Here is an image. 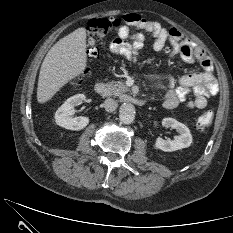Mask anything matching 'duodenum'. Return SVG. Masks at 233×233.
Segmentation results:
<instances>
[{
  "label": "duodenum",
  "instance_id": "410a0bca",
  "mask_svg": "<svg viewBox=\"0 0 233 233\" xmlns=\"http://www.w3.org/2000/svg\"><path fill=\"white\" fill-rule=\"evenodd\" d=\"M95 92L102 97H106L109 94V90L108 87L105 83L103 82H98L95 84ZM123 99L125 102L137 105V106H143L145 105V100L137 98L135 96L132 95H124Z\"/></svg>",
  "mask_w": 233,
  "mask_h": 233
}]
</instances>
